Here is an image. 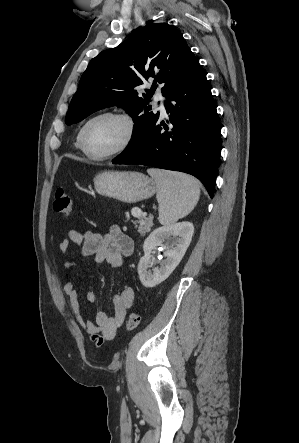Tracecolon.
Instances as JSON below:
<instances>
[{
  "instance_id": "1",
  "label": "colon",
  "mask_w": 299,
  "mask_h": 443,
  "mask_svg": "<svg viewBox=\"0 0 299 443\" xmlns=\"http://www.w3.org/2000/svg\"><path fill=\"white\" fill-rule=\"evenodd\" d=\"M53 207L57 213L65 217H69L72 214V200L64 188L60 187L56 190ZM139 323V314L136 312L129 313L126 320L127 329L133 331L138 327Z\"/></svg>"
}]
</instances>
